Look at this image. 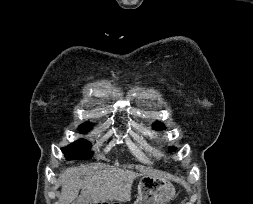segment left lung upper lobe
<instances>
[{"instance_id": "5c2ea615", "label": "left lung upper lobe", "mask_w": 253, "mask_h": 204, "mask_svg": "<svg viewBox=\"0 0 253 204\" xmlns=\"http://www.w3.org/2000/svg\"><path fill=\"white\" fill-rule=\"evenodd\" d=\"M153 127L155 128V129H165L166 127L162 124V123H155L154 125H153ZM170 151L172 152V151H174V148L173 147H171L170 148Z\"/></svg>"}]
</instances>
